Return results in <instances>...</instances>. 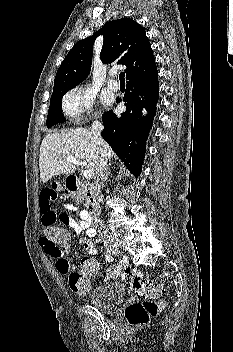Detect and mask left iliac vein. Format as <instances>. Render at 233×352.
<instances>
[{"instance_id":"obj_1","label":"left iliac vein","mask_w":233,"mask_h":352,"mask_svg":"<svg viewBox=\"0 0 233 352\" xmlns=\"http://www.w3.org/2000/svg\"><path fill=\"white\" fill-rule=\"evenodd\" d=\"M120 253V251H117L116 253H115V255H118Z\"/></svg>"}]
</instances>
